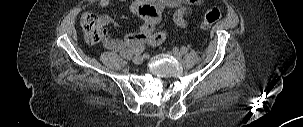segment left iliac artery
Segmentation results:
<instances>
[{
  "instance_id": "left-iliac-artery-1",
  "label": "left iliac artery",
  "mask_w": 303,
  "mask_h": 127,
  "mask_svg": "<svg viewBox=\"0 0 303 127\" xmlns=\"http://www.w3.org/2000/svg\"><path fill=\"white\" fill-rule=\"evenodd\" d=\"M180 51H181L182 54H186L187 53V48L183 46V47H181Z\"/></svg>"
}]
</instances>
